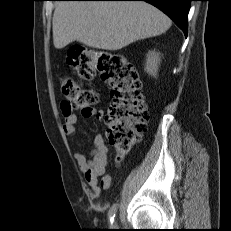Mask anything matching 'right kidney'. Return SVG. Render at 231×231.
I'll return each mask as SVG.
<instances>
[{
	"mask_svg": "<svg viewBox=\"0 0 231 231\" xmlns=\"http://www.w3.org/2000/svg\"><path fill=\"white\" fill-rule=\"evenodd\" d=\"M161 57L160 53L154 51H149L146 55V63H145V71L153 76L156 77L158 73V68L160 65Z\"/></svg>",
	"mask_w": 231,
	"mask_h": 231,
	"instance_id": "ca27d5eb",
	"label": "right kidney"
}]
</instances>
